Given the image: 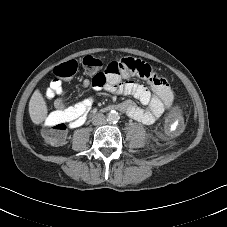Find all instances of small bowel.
<instances>
[{"instance_id": "c3829d8e", "label": "small bowel", "mask_w": 227, "mask_h": 227, "mask_svg": "<svg viewBox=\"0 0 227 227\" xmlns=\"http://www.w3.org/2000/svg\"><path fill=\"white\" fill-rule=\"evenodd\" d=\"M106 81L101 85H95L93 80L84 79L82 87L93 86L99 91L103 87L110 93H118L134 97L141 105L140 107L133 100H125L119 109L131 118L144 124L155 122L164 112L169 110L173 104L174 96L169 82L157 76L152 70L145 76H141L148 82L151 89L133 80L120 81L121 76L112 77L109 73H104ZM138 73L124 72L122 78L128 79ZM47 102H51L55 108L46 118L45 124L50 125L61 120L60 114H68L65 119L69 128H75L83 121V115L90 110L94 103L93 97H87L73 106L65 104V91L60 87L56 88L53 83L45 94Z\"/></svg>"}]
</instances>
